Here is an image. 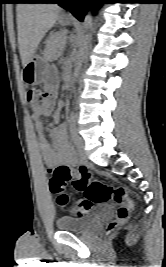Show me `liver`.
<instances>
[{
	"mask_svg": "<svg viewBox=\"0 0 166 267\" xmlns=\"http://www.w3.org/2000/svg\"><path fill=\"white\" fill-rule=\"evenodd\" d=\"M16 11L18 45L24 67L45 34L55 25L60 7L54 4L20 3Z\"/></svg>",
	"mask_w": 166,
	"mask_h": 267,
	"instance_id": "liver-1",
	"label": "liver"
}]
</instances>
